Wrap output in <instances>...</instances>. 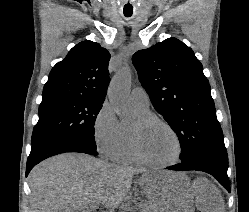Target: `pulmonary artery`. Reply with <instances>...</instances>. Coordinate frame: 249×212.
I'll use <instances>...</instances> for the list:
<instances>
[{"mask_svg":"<svg viewBox=\"0 0 249 212\" xmlns=\"http://www.w3.org/2000/svg\"><path fill=\"white\" fill-rule=\"evenodd\" d=\"M126 55V54H125ZM130 103L134 108L147 111L149 110L150 101L146 91L142 87H135L131 91Z\"/></svg>","mask_w":249,"mask_h":212,"instance_id":"1","label":"pulmonary artery"}]
</instances>
